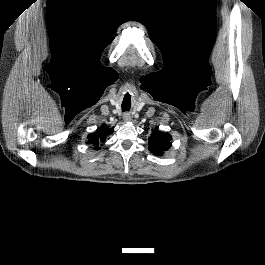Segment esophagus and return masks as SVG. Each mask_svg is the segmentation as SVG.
Listing matches in <instances>:
<instances>
[{
  "label": "esophagus",
  "instance_id": "1",
  "mask_svg": "<svg viewBox=\"0 0 265 265\" xmlns=\"http://www.w3.org/2000/svg\"><path fill=\"white\" fill-rule=\"evenodd\" d=\"M123 120L125 122H129L131 120V115L129 113H124L123 114Z\"/></svg>",
  "mask_w": 265,
  "mask_h": 265
}]
</instances>
